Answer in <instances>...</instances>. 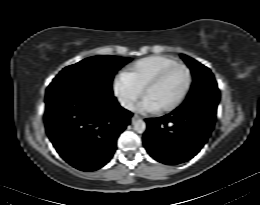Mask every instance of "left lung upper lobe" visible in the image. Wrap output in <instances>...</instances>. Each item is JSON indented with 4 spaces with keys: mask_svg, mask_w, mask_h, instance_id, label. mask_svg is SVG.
<instances>
[{
    "mask_svg": "<svg viewBox=\"0 0 260 205\" xmlns=\"http://www.w3.org/2000/svg\"><path fill=\"white\" fill-rule=\"evenodd\" d=\"M181 57L191 69L193 84L185 102L177 109L199 108L216 114L220 94L213 74L196 60L186 55H181Z\"/></svg>",
    "mask_w": 260,
    "mask_h": 205,
    "instance_id": "left-lung-upper-lobe-1",
    "label": "left lung upper lobe"
}]
</instances>
